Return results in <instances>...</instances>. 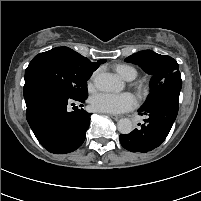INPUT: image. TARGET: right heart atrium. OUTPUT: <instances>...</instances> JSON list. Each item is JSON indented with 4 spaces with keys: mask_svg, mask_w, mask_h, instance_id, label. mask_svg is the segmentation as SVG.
Here are the masks:
<instances>
[{
    "mask_svg": "<svg viewBox=\"0 0 201 201\" xmlns=\"http://www.w3.org/2000/svg\"><path fill=\"white\" fill-rule=\"evenodd\" d=\"M89 87H90V88L92 87V82H90Z\"/></svg>",
    "mask_w": 201,
    "mask_h": 201,
    "instance_id": "right-heart-atrium-1",
    "label": "right heart atrium"
}]
</instances>
